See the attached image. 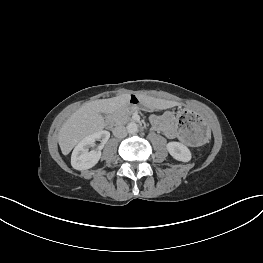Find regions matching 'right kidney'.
Wrapping results in <instances>:
<instances>
[{"label": "right kidney", "instance_id": "right-kidney-1", "mask_svg": "<svg viewBox=\"0 0 263 263\" xmlns=\"http://www.w3.org/2000/svg\"><path fill=\"white\" fill-rule=\"evenodd\" d=\"M109 137L110 133L108 131L101 130L82 139L72 152V167L77 170H86L95 166L101 158V149ZM96 141H100L101 144L97 149L89 151L90 148L96 146Z\"/></svg>", "mask_w": 263, "mask_h": 263}]
</instances>
